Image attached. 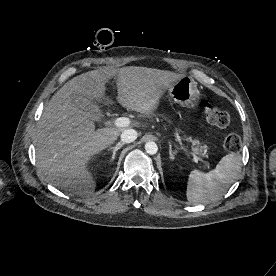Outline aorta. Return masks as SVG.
Masks as SVG:
<instances>
[{
    "mask_svg": "<svg viewBox=\"0 0 276 276\" xmlns=\"http://www.w3.org/2000/svg\"><path fill=\"white\" fill-rule=\"evenodd\" d=\"M145 150L148 154L154 155L158 151V146L155 142L149 141L145 144Z\"/></svg>",
    "mask_w": 276,
    "mask_h": 276,
    "instance_id": "obj_1",
    "label": "aorta"
}]
</instances>
